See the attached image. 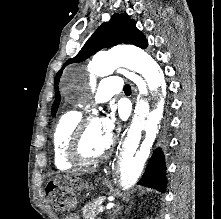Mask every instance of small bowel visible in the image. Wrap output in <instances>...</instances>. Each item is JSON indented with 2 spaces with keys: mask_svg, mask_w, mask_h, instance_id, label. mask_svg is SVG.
<instances>
[{
  "mask_svg": "<svg viewBox=\"0 0 221 219\" xmlns=\"http://www.w3.org/2000/svg\"><path fill=\"white\" fill-rule=\"evenodd\" d=\"M65 219H79V217L75 214H72V215L66 216Z\"/></svg>",
  "mask_w": 221,
  "mask_h": 219,
  "instance_id": "1",
  "label": "small bowel"
}]
</instances>
